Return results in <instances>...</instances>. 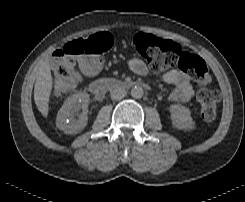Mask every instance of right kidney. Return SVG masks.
<instances>
[{"label":"right kidney","mask_w":245,"mask_h":202,"mask_svg":"<svg viewBox=\"0 0 245 202\" xmlns=\"http://www.w3.org/2000/svg\"><path fill=\"white\" fill-rule=\"evenodd\" d=\"M89 100V94L85 92L68 97L58 111L56 126L66 134L80 133L88 122ZM76 115L78 119L75 117Z\"/></svg>","instance_id":"right-kidney-1"}]
</instances>
